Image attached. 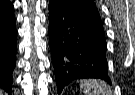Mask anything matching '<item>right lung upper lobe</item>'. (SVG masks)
I'll return each mask as SVG.
<instances>
[{"label":"right lung upper lobe","mask_w":135,"mask_h":95,"mask_svg":"<svg viewBox=\"0 0 135 95\" xmlns=\"http://www.w3.org/2000/svg\"><path fill=\"white\" fill-rule=\"evenodd\" d=\"M14 7L9 0H0V16H9L14 12Z\"/></svg>","instance_id":"obj_1"}]
</instances>
